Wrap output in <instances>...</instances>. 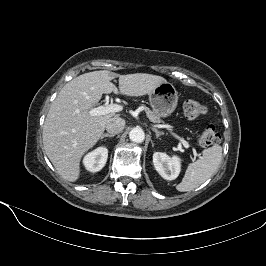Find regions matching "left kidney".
Here are the masks:
<instances>
[{"mask_svg": "<svg viewBox=\"0 0 266 266\" xmlns=\"http://www.w3.org/2000/svg\"><path fill=\"white\" fill-rule=\"evenodd\" d=\"M153 163L156 171L166 180H174L181 170V160L177 156L169 157L165 153L153 154Z\"/></svg>", "mask_w": 266, "mask_h": 266, "instance_id": "left-kidney-1", "label": "left kidney"}]
</instances>
